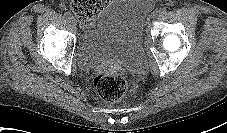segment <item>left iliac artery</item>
<instances>
[{
	"instance_id": "44dca946",
	"label": "left iliac artery",
	"mask_w": 227,
	"mask_h": 133,
	"mask_svg": "<svg viewBox=\"0 0 227 133\" xmlns=\"http://www.w3.org/2000/svg\"><path fill=\"white\" fill-rule=\"evenodd\" d=\"M158 13H159V14H166V13H167V9H166V8H160V9L158 10Z\"/></svg>"
}]
</instances>
